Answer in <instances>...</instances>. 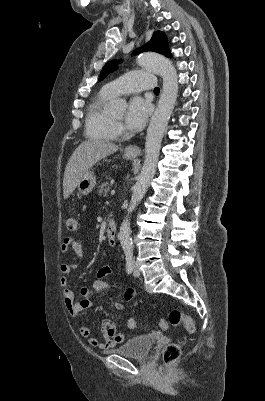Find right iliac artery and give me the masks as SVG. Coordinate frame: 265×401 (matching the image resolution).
Returning a JSON list of instances; mask_svg holds the SVG:
<instances>
[{
  "label": "right iliac artery",
  "instance_id": "82829eb1",
  "mask_svg": "<svg viewBox=\"0 0 265 401\" xmlns=\"http://www.w3.org/2000/svg\"><path fill=\"white\" fill-rule=\"evenodd\" d=\"M126 271L128 274L133 272L132 257L130 256L126 257Z\"/></svg>",
  "mask_w": 265,
  "mask_h": 401
}]
</instances>
